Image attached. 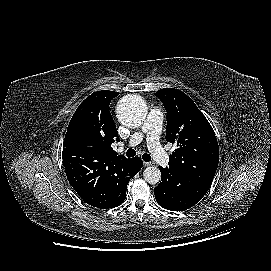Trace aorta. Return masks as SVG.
I'll return each mask as SVG.
<instances>
[{
	"instance_id": "aorta-1",
	"label": "aorta",
	"mask_w": 271,
	"mask_h": 271,
	"mask_svg": "<svg viewBox=\"0 0 271 271\" xmlns=\"http://www.w3.org/2000/svg\"><path fill=\"white\" fill-rule=\"evenodd\" d=\"M116 110L119 122L129 128L141 126L147 114L143 100L136 95L124 96ZM143 177L147 183L154 185L161 180V172L157 167L150 166L144 169Z\"/></svg>"
}]
</instances>
